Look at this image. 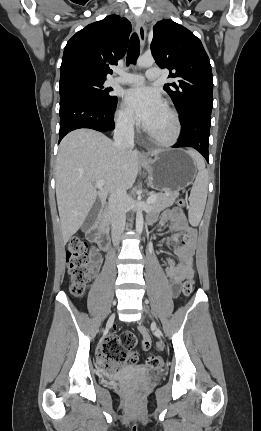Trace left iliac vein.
I'll return each instance as SVG.
<instances>
[{"label":"left iliac vein","mask_w":261,"mask_h":431,"mask_svg":"<svg viewBox=\"0 0 261 431\" xmlns=\"http://www.w3.org/2000/svg\"><path fill=\"white\" fill-rule=\"evenodd\" d=\"M145 311L149 313V310L147 307H144ZM149 315L151 316V314L149 313Z\"/></svg>","instance_id":"left-iliac-vein-1"}]
</instances>
